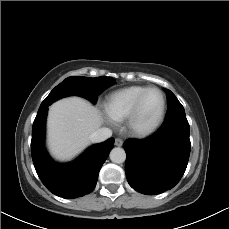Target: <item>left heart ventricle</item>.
<instances>
[{"label": "left heart ventricle", "instance_id": "obj_1", "mask_svg": "<svg viewBox=\"0 0 229 229\" xmlns=\"http://www.w3.org/2000/svg\"><path fill=\"white\" fill-rule=\"evenodd\" d=\"M161 108V97L156 91L149 92L142 101L139 124L145 126L150 124L158 115Z\"/></svg>", "mask_w": 229, "mask_h": 229}]
</instances>
